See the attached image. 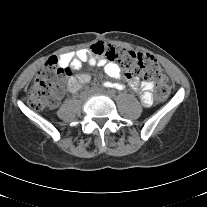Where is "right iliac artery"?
<instances>
[{
	"instance_id": "right-iliac-artery-1",
	"label": "right iliac artery",
	"mask_w": 207,
	"mask_h": 207,
	"mask_svg": "<svg viewBox=\"0 0 207 207\" xmlns=\"http://www.w3.org/2000/svg\"><path fill=\"white\" fill-rule=\"evenodd\" d=\"M104 86H105V87H111V83H110V82H105V83H104Z\"/></svg>"
}]
</instances>
